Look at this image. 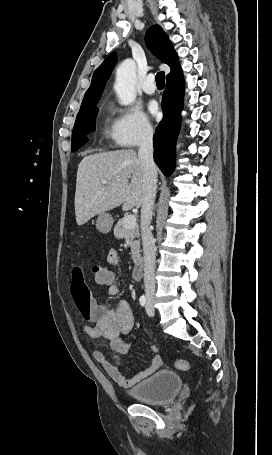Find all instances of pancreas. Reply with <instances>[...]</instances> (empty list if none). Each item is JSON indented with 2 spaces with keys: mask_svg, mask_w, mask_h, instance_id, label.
Wrapping results in <instances>:
<instances>
[{
  "mask_svg": "<svg viewBox=\"0 0 272 455\" xmlns=\"http://www.w3.org/2000/svg\"><path fill=\"white\" fill-rule=\"evenodd\" d=\"M114 236L117 239H124L129 237L131 256L134 263H137L140 259V240H139V227L136 224L132 228H125L124 218L120 219L114 227Z\"/></svg>",
  "mask_w": 272,
  "mask_h": 455,
  "instance_id": "pancreas-1",
  "label": "pancreas"
}]
</instances>
